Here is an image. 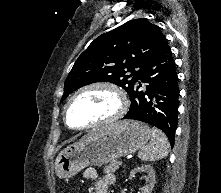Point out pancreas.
<instances>
[{"label": "pancreas", "mask_w": 221, "mask_h": 193, "mask_svg": "<svg viewBox=\"0 0 221 193\" xmlns=\"http://www.w3.org/2000/svg\"><path fill=\"white\" fill-rule=\"evenodd\" d=\"M119 168V162L114 160L104 167V173H114Z\"/></svg>", "instance_id": "cf45deb5"}]
</instances>
